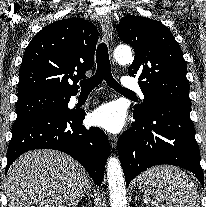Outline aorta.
<instances>
[{
  "instance_id": "aorta-1",
  "label": "aorta",
  "mask_w": 206,
  "mask_h": 207,
  "mask_svg": "<svg viewBox=\"0 0 206 207\" xmlns=\"http://www.w3.org/2000/svg\"><path fill=\"white\" fill-rule=\"evenodd\" d=\"M114 58L118 63L126 64L132 61V51L128 46H119L114 50ZM107 179L109 184L111 207H126V189L120 162L110 157L107 162Z\"/></svg>"
}]
</instances>
